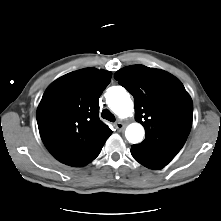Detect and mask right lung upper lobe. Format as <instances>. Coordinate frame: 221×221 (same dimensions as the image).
I'll use <instances>...</instances> for the list:
<instances>
[{
    "instance_id": "cb5924a9",
    "label": "right lung upper lobe",
    "mask_w": 221,
    "mask_h": 221,
    "mask_svg": "<svg viewBox=\"0 0 221 221\" xmlns=\"http://www.w3.org/2000/svg\"><path fill=\"white\" fill-rule=\"evenodd\" d=\"M111 72L85 68L54 81L37 108L43 143L60 162L74 166L106 141L112 130L99 119V97Z\"/></svg>"
}]
</instances>
